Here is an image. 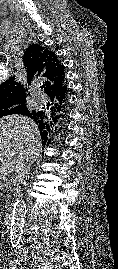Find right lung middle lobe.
<instances>
[{
	"mask_svg": "<svg viewBox=\"0 0 118 269\" xmlns=\"http://www.w3.org/2000/svg\"><path fill=\"white\" fill-rule=\"evenodd\" d=\"M25 107L26 105L24 103L1 106L0 118L7 115L20 114Z\"/></svg>",
	"mask_w": 118,
	"mask_h": 269,
	"instance_id": "right-lung-middle-lobe-1",
	"label": "right lung middle lobe"
}]
</instances>
